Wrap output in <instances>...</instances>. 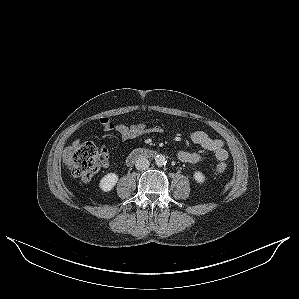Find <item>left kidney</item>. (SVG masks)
Returning <instances> with one entry per match:
<instances>
[{"mask_svg": "<svg viewBox=\"0 0 299 299\" xmlns=\"http://www.w3.org/2000/svg\"><path fill=\"white\" fill-rule=\"evenodd\" d=\"M193 176H194L195 181H197L198 183H204L205 175L202 172L195 171Z\"/></svg>", "mask_w": 299, "mask_h": 299, "instance_id": "1", "label": "left kidney"}]
</instances>
